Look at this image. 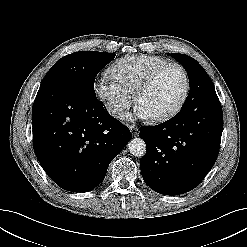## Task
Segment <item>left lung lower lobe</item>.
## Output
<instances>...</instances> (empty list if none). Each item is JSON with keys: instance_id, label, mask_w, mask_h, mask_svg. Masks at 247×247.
I'll list each match as a JSON object with an SVG mask.
<instances>
[{"instance_id": "left-lung-lower-lobe-1", "label": "left lung lower lobe", "mask_w": 247, "mask_h": 247, "mask_svg": "<svg viewBox=\"0 0 247 247\" xmlns=\"http://www.w3.org/2000/svg\"><path fill=\"white\" fill-rule=\"evenodd\" d=\"M195 100L168 121L140 128L147 147L140 160L141 174L160 194L194 189L217 159L223 130L221 104L217 96Z\"/></svg>"}]
</instances>
